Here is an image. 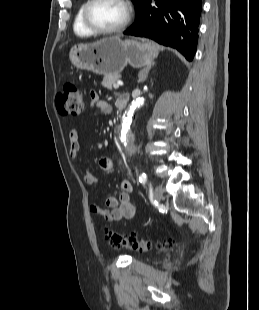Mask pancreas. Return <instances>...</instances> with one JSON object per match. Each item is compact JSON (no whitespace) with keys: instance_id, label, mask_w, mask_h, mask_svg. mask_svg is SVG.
Listing matches in <instances>:
<instances>
[{"instance_id":"obj_1","label":"pancreas","mask_w":259,"mask_h":310,"mask_svg":"<svg viewBox=\"0 0 259 310\" xmlns=\"http://www.w3.org/2000/svg\"><path fill=\"white\" fill-rule=\"evenodd\" d=\"M120 78L119 75H111L107 74L104 76L102 85L103 87L112 90L113 85L116 83V81Z\"/></svg>"}]
</instances>
